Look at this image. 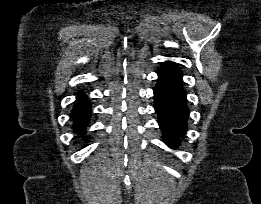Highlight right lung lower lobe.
<instances>
[{"label":"right lung lower lobe","mask_w":261,"mask_h":204,"mask_svg":"<svg viewBox=\"0 0 261 204\" xmlns=\"http://www.w3.org/2000/svg\"><path fill=\"white\" fill-rule=\"evenodd\" d=\"M73 117V127L76 131L82 132L84 137V129L91 117V103L83 92L78 93L74 107L71 111Z\"/></svg>","instance_id":"right-lung-lower-lobe-1"}]
</instances>
